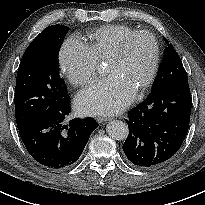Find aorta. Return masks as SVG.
I'll list each match as a JSON object with an SVG mask.
<instances>
[{"instance_id": "aorta-1", "label": "aorta", "mask_w": 205, "mask_h": 205, "mask_svg": "<svg viewBox=\"0 0 205 205\" xmlns=\"http://www.w3.org/2000/svg\"><path fill=\"white\" fill-rule=\"evenodd\" d=\"M106 131L108 135L115 140H124L129 134L127 124L119 120L109 122Z\"/></svg>"}]
</instances>
